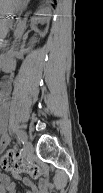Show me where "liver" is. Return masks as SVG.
I'll return each mask as SVG.
<instances>
[{"label": "liver", "mask_w": 103, "mask_h": 193, "mask_svg": "<svg viewBox=\"0 0 103 193\" xmlns=\"http://www.w3.org/2000/svg\"><path fill=\"white\" fill-rule=\"evenodd\" d=\"M5 0H1L0 4H1V8L3 9V4H4Z\"/></svg>", "instance_id": "1"}]
</instances>
